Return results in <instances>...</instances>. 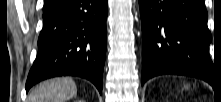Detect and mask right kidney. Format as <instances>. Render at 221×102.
<instances>
[{
	"label": "right kidney",
	"instance_id": "right-kidney-1",
	"mask_svg": "<svg viewBox=\"0 0 221 102\" xmlns=\"http://www.w3.org/2000/svg\"><path fill=\"white\" fill-rule=\"evenodd\" d=\"M78 102H82V100H78Z\"/></svg>",
	"mask_w": 221,
	"mask_h": 102
}]
</instances>
